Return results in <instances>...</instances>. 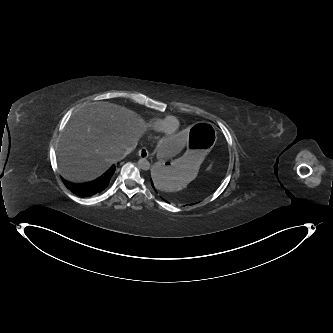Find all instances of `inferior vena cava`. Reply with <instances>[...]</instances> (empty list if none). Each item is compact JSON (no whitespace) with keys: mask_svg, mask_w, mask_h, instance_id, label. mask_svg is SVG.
Here are the masks:
<instances>
[{"mask_svg":"<svg viewBox=\"0 0 333 333\" xmlns=\"http://www.w3.org/2000/svg\"><path fill=\"white\" fill-rule=\"evenodd\" d=\"M132 149H127L122 156L118 157L117 160H122L124 159L128 154H130Z\"/></svg>","mask_w":333,"mask_h":333,"instance_id":"1","label":"inferior vena cava"}]
</instances>
